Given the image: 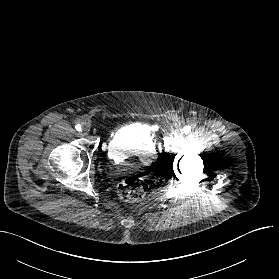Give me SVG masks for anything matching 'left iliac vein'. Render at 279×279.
<instances>
[{"label":"left iliac vein","mask_w":279,"mask_h":279,"mask_svg":"<svg viewBox=\"0 0 279 279\" xmlns=\"http://www.w3.org/2000/svg\"><path fill=\"white\" fill-rule=\"evenodd\" d=\"M183 130L179 127V128H176V130H175V133H174V135H175V137H178V138H180V137H182L183 136Z\"/></svg>","instance_id":"1"}]
</instances>
